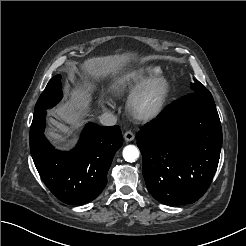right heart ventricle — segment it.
Segmentation results:
<instances>
[{
	"mask_svg": "<svg viewBox=\"0 0 246 246\" xmlns=\"http://www.w3.org/2000/svg\"><path fill=\"white\" fill-rule=\"evenodd\" d=\"M156 67H146L129 71L116 78L110 85L109 91L114 96H121L133 91L147 79L158 75Z\"/></svg>",
	"mask_w": 246,
	"mask_h": 246,
	"instance_id": "right-heart-ventricle-1",
	"label": "right heart ventricle"
}]
</instances>
